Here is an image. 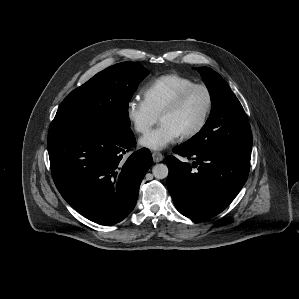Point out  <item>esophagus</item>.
<instances>
[{"mask_svg": "<svg viewBox=\"0 0 299 299\" xmlns=\"http://www.w3.org/2000/svg\"><path fill=\"white\" fill-rule=\"evenodd\" d=\"M152 157L154 162H161L164 159V156L160 152H153Z\"/></svg>", "mask_w": 299, "mask_h": 299, "instance_id": "esophagus-1", "label": "esophagus"}]
</instances>
